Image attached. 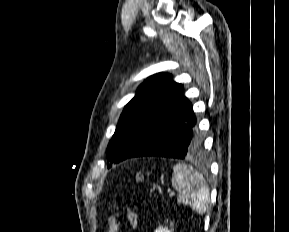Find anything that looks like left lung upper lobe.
<instances>
[{
  "label": "left lung upper lobe",
  "instance_id": "left-lung-upper-lobe-1",
  "mask_svg": "<svg viewBox=\"0 0 289 232\" xmlns=\"http://www.w3.org/2000/svg\"><path fill=\"white\" fill-rule=\"evenodd\" d=\"M182 91L183 86L170 74L158 73L146 79L120 116L107 159L113 163L125 160L172 121L187 100Z\"/></svg>",
  "mask_w": 289,
  "mask_h": 232
}]
</instances>
